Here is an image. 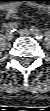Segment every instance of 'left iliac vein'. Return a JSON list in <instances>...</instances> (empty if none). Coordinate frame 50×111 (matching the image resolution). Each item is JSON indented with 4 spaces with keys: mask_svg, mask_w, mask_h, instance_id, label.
I'll return each mask as SVG.
<instances>
[{
    "mask_svg": "<svg viewBox=\"0 0 50 111\" xmlns=\"http://www.w3.org/2000/svg\"><path fill=\"white\" fill-rule=\"evenodd\" d=\"M18 32H19V34H21V35H27V36L32 35V32H31L30 30L26 29V28L20 29Z\"/></svg>",
    "mask_w": 50,
    "mask_h": 111,
    "instance_id": "1",
    "label": "left iliac vein"
}]
</instances>
